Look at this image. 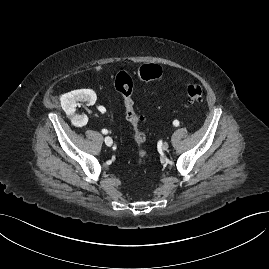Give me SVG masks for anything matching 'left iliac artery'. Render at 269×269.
<instances>
[{
	"label": "left iliac artery",
	"mask_w": 269,
	"mask_h": 269,
	"mask_svg": "<svg viewBox=\"0 0 269 269\" xmlns=\"http://www.w3.org/2000/svg\"><path fill=\"white\" fill-rule=\"evenodd\" d=\"M173 125L176 126V127L179 126V121L178 120H174L173 121Z\"/></svg>",
	"instance_id": "44dca946"
}]
</instances>
